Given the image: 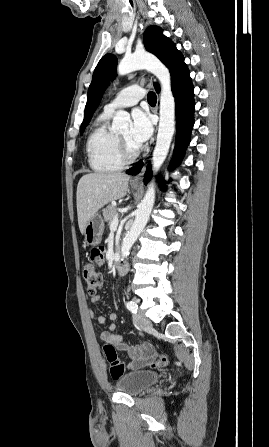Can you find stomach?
<instances>
[{"label":"stomach","instance_id":"1","mask_svg":"<svg viewBox=\"0 0 269 447\" xmlns=\"http://www.w3.org/2000/svg\"><path fill=\"white\" fill-rule=\"evenodd\" d=\"M103 229V218H101L100 214H94L88 224L85 225L84 235L86 243L88 245H98L102 239Z\"/></svg>","mask_w":269,"mask_h":447}]
</instances>
